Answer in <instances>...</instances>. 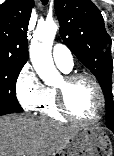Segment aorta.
Here are the masks:
<instances>
[{
  "mask_svg": "<svg viewBox=\"0 0 114 156\" xmlns=\"http://www.w3.org/2000/svg\"><path fill=\"white\" fill-rule=\"evenodd\" d=\"M57 30L58 26L54 21H46L37 26L29 50L31 63L36 73L47 85H52L60 79L51 54Z\"/></svg>",
  "mask_w": 114,
  "mask_h": 156,
  "instance_id": "obj_1",
  "label": "aorta"
}]
</instances>
